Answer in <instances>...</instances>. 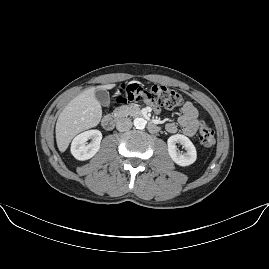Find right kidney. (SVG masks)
Instances as JSON below:
<instances>
[{
  "instance_id": "right-kidney-1",
  "label": "right kidney",
  "mask_w": 269,
  "mask_h": 269,
  "mask_svg": "<svg viewBox=\"0 0 269 269\" xmlns=\"http://www.w3.org/2000/svg\"><path fill=\"white\" fill-rule=\"evenodd\" d=\"M88 139H92L89 144L86 143ZM101 139L102 133L97 129L82 132L73 139L71 153L78 160L89 159L98 151Z\"/></svg>"
}]
</instances>
